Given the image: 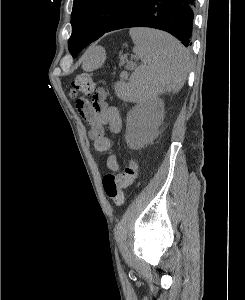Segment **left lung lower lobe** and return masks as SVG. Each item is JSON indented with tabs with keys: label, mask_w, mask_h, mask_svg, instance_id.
Here are the masks:
<instances>
[{
	"label": "left lung lower lobe",
	"mask_w": 245,
	"mask_h": 300,
	"mask_svg": "<svg viewBox=\"0 0 245 300\" xmlns=\"http://www.w3.org/2000/svg\"><path fill=\"white\" fill-rule=\"evenodd\" d=\"M194 7L195 0H135L106 32L129 27H150L166 31L182 41L183 45L190 46ZM99 37L84 42L76 54Z\"/></svg>",
	"instance_id": "0a47b994"
}]
</instances>
